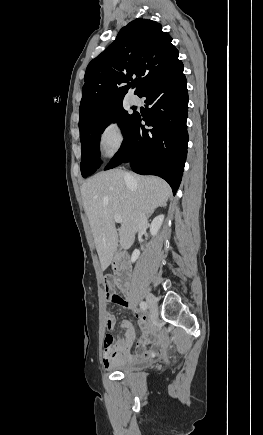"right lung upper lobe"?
<instances>
[{
	"mask_svg": "<svg viewBox=\"0 0 263 435\" xmlns=\"http://www.w3.org/2000/svg\"><path fill=\"white\" fill-rule=\"evenodd\" d=\"M171 41L161 24L152 20L139 18L123 27L86 69L79 128L121 103L131 87H137L135 94L140 96L174 69L181 61Z\"/></svg>",
	"mask_w": 263,
	"mask_h": 435,
	"instance_id": "obj_1",
	"label": "right lung upper lobe"
}]
</instances>
